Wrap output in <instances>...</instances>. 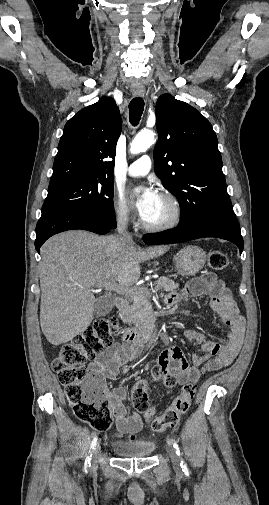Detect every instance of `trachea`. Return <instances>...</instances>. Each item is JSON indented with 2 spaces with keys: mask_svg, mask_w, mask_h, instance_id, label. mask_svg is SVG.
<instances>
[{
  "mask_svg": "<svg viewBox=\"0 0 269 505\" xmlns=\"http://www.w3.org/2000/svg\"><path fill=\"white\" fill-rule=\"evenodd\" d=\"M144 110V101L140 97L131 100L129 104V120L133 126H137Z\"/></svg>",
  "mask_w": 269,
  "mask_h": 505,
  "instance_id": "trachea-1",
  "label": "trachea"
}]
</instances>
